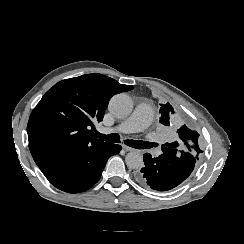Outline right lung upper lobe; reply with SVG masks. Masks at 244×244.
Wrapping results in <instances>:
<instances>
[{
	"label": "right lung upper lobe",
	"instance_id": "right-lung-upper-lobe-1",
	"mask_svg": "<svg viewBox=\"0 0 244 244\" xmlns=\"http://www.w3.org/2000/svg\"><path fill=\"white\" fill-rule=\"evenodd\" d=\"M133 89L98 73L55 84L32 111L27 133L29 149L39 166L105 144L95 136L94 123L103 120L109 100Z\"/></svg>",
	"mask_w": 244,
	"mask_h": 244
}]
</instances>
